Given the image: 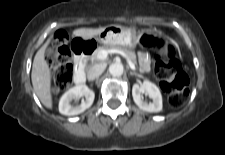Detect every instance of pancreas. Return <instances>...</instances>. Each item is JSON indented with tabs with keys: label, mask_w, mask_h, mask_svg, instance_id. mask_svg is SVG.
<instances>
[{
	"label": "pancreas",
	"mask_w": 225,
	"mask_h": 155,
	"mask_svg": "<svg viewBox=\"0 0 225 155\" xmlns=\"http://www.w3.org/2000/svg\"><path fill=\"white\" fill-rule=\"evenodd\" d=\"M114 48L123 51L134 64L137 63L135 52L125 46L120 45V44H111V45H107V46L98 47L95 50V52L90 56L89 59L92 62L98 61L99 60L97 58L98 52H100L101 50H109V49H114Z\"/></svg>",
	"instance_id": "cf45deb5"
}]
</instances>
